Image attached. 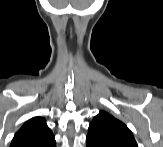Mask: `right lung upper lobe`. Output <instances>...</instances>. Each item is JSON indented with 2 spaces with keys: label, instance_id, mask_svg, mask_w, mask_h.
<instances>
[{
  "label": "right lung upper lobe",
  "instance_id": "right-lung-upper-lobe-1",
  "mask_svg": "<svg viewBox=\"0 0 163 147\" xmlns=\"http://www.w3.org/2000/svg\"><path fill=\"white\" fill-rule=\"evenodd\" d=\"M53 137L51 130L46 125V121L41 117H34L28 120L15 134L11 145L24 141H40Z\"/></svg>",
  "mask_w": 163,
  "mask_h": 147
}]
</instances>
